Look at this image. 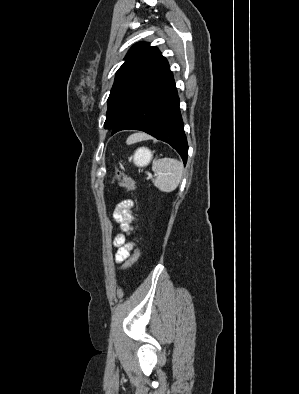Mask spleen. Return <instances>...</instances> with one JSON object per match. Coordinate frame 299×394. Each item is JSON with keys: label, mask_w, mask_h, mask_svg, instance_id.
<instances>
[{"label": "spleen", "mask_w": 299, "mask_h": 394, "mask_svg": "<svg viewBox=\"0 0 299 394\" xmlns=\"http://www.w3.org/2000/svg\"><path fill=\"white\" fill-rule=\"evenodd\" d=\"M153 172L157 175L153 184L162 192L174 191L181 182L183 163L177 159L162 158L152 165Z\"/></svg>", "instance_id": "obj_1"}]
</instances>
